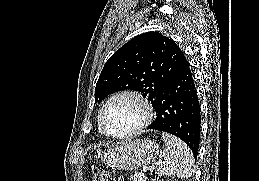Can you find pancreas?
Returning a JSON list of instances; mask_svg holds the SVG:
<instances>
[{
    "mask_svg": "<svg viewBox=\"0 0 259 181\" xmlns=\"http://www.w3.org/2000/svg\"><path fill=\"white\" fill-rule=\"evenodd\" d=\"M132 181H146L145 176L140 172H136L135 174L131 175Z\"/></svg>",
    "mask_w": 259,
    "mask_h": 181,
    "instance_id": "cf45deb5",
    "label": "pancreas"
}]
</instances>
